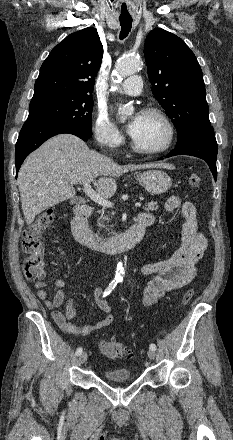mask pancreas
I'll list each match as a JSON object with an SVG mask.
<instances>
[{"mask_svg": "<svg viewBox=\"0 0 233 440\" xmlns=\"http://www.w3.org/2000/svg\"><path fill=\"white\" fill-rule=\"evenodd\" d=\"M158 205H157V202H154V201H151V202H148V203H146L145 204V206H144V210L145 211H156L157 209H158ZM104 221H109V218L108 217H105V216H103V215H101L100 216V218H99V223H98V226L100 227V228H102V227H104V225H103V222Z\"/></svg>", "mask_w": 233, "mask_h": 440, "instance_id": "obj_1", "label": "pancreas"}]
</instances>
